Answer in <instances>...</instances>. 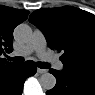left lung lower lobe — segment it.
Segmentation results:
<instances>
[{
    "label": "left lung lower lobe",
    "mask_w": 95,
    "mask_h": 95,
    "mask_svg": "<svg viewBox=\"0 0 95 95\" xmlns=\"http://www.w3.org/2000/svg\"><path fill=\"white\" fill-rule=\"evenodd\" d=\"M56 85L47 95H95V75L64 68L61 72L50 69Z\"/></svg>",
    "instance_id": "obj_1"
}]
</instances>
